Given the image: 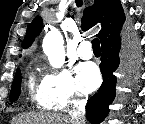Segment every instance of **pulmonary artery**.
Returning <instances> with one entry per match:
<instances>
[{
  "label": "pulmonary artery",
  "instance_id": "pulmonary-artery-1",
  "mask_svg": "<svg viewBox=\"0 0 145 124\" xmlns=\"http://www.w3.org/2000/svg\"><path fill=\"white\" fill-rule=\"evenodd\" d=\"M78 55L85 60L91 59L93 57V52L89 42L83 41L80 43Z\"/></svg>",
  "mask_w": 145,
  "mask_h": 124
}]
</instances>
